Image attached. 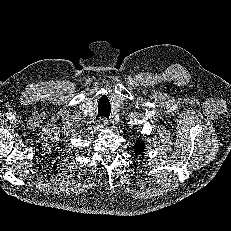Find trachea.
Segmentation results:
<instances>
[{
	"mask_svg": "<svg viewBox=\"0 0 231 231\" xmlns=\"http://www.w3.org/2000/svg\"><path fill=\"white\" fill-rule=\"evenodd\" d=\"M110 113H111L110 105H99V107H98V115H97L96 118H99V117L108 118Z\"/></svg>",
	"mask_w": 231,
	"mask_h": 231,
	"instance_id": "1",
	"label": "trachea"
}]
</instances>
